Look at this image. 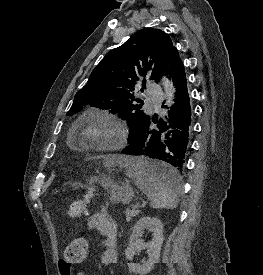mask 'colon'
<instances>
[{
  "label": "colon",
  "instance_id": "5ec220e1",
  "mask_svg": "<svg viewBox=\"0 0 263 275\" xmlns=\"http://www.w3.org/2000/svg\"><path fill=\"white\" fill-rule=\"evenodd\" d=\"M94 187H90L82 198L70 203L68 215L76 218L85 214L88 210L92 198L94 196ZM88 253V245L82 238L72 240L65 249L63 258L59 261V265L63 271H70L73 265L82 263ZM79 275H84L79 273Z\"/></svg>",
  "mask_w": 263,
  "mask_h": 275
}]
</instances>
